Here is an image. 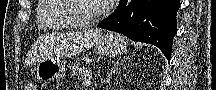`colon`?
<instances>
[{
  "label": "colon",
  "instance_id": "obj_1",
  "mask_svg": "<svg viewBox=\"0 0 216 90\" xmlns=\"http://www.w3.org/2000/svg\"><path fill=\"white\" fill-rule=\"evenodd\" d=\"M23 90H37V87L33 82H26L23 85Z\"/></svg>",
  "mask_w": 216,
  "mask_h": 90
}]
</instances>
